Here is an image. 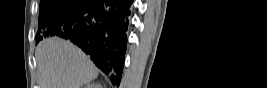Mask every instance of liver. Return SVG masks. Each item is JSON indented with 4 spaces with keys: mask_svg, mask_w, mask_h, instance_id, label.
Here are the masks:
<instances>
[{
    "mask_svg": "<svg viewBox=\"0 0 267 88\" xmlns=\"http://www.w3.org/2000/svg\"><path fill=\"white\" fill-rule=\"evenodd\" d=\"M35 57L39 88H81L98 76L96 66L83 51L58 37L42 40Z\"/></svg>",
    "mask_w": 267,
    "mask_h": 88,
    "instance_id": "liver-1",
    "label": "liver"
}]
</instances>
